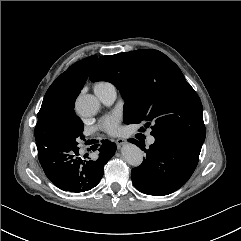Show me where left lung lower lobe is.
Returning <instances> with one entry per match:
<instances>
[{
    "instance_id": "0a47b994",
    "label": "left lung lower lobe",
    "mask_w": 241,
    "mask_h": 241,
    "mask_svg": "<svg viewBox=\"0 0 241 241\" xmlns=\"http://www.w3.org/2000/svg\"><path fill=\"white\" fill-rule=\"evenodd\" d=\"M146 150L135 139L128 141L146 153L143 163L131 172L134 186L148 195L164 196L181 188L193 174L202 144L171 134H158Z\"/></svg>"
}]
</instances>
